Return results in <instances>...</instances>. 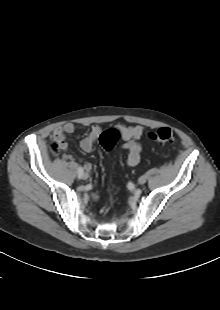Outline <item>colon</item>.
Returning a JSON list of instances; mask_svg holds the SVG:
<instances>
[{"mask_svg":"<svg viewBox=\"0 0 220 310\" xmlns=\"http://www.w3.org/2000/svg\"><path fill=\"white\" fill-rule=\"evenodd\" d=\"M121 133L118 129L112 128L101 133L99 143L103 149L110 151L118 142ZM148 138L160 143H172L175 139L173 131L168 127H161L148 133ZM50 150L53 155L57 156L60 153V147L56 142L50 145Z\"/></svg>","mask_w":220,"mask_h":310,"instance_id":"5ec220e1","label":"colon"}]
</instances>
